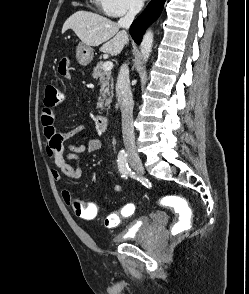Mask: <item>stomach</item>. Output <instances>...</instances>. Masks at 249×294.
Segmentation results:
<instances>
[{
    "label": "stomach",
    "instance_id": "stomach-1",
    "mask_svg": "<svg viewBox=\"0 0 249 294\" xmlns=\"http://www.w3.org/2000/svg\"><path fill=\"white\" fill-rule=\"evenodd\" d=\"M94 51L91 46L80 43L76 48V59L82 66H87L93 59Z\"/></svg>",
    "mask_w": 249,
    "mask_h": 294
}]
</instances>
